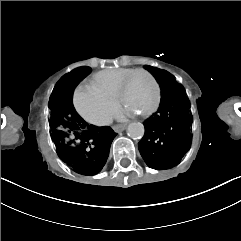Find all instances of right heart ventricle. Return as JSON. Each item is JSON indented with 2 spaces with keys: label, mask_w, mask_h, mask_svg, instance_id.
<instances>
[{
  "label": "right heart ventricle",
  "mask_w": 241,
  "mask_h": 241,
  "mask_svg": "<svg viewBox=\"0 0 241 241\" xmlns=\"http://www.w3.org/2000/svg\"><path fill=\"white\" fill-rule=\"evenodd\" d=\"M129 70L133 69L113 67L104 69L86 78L82 83V87H87L89 84H94L100 88L101 92L110 93L111 97H107V99H112V97L116 94L117 83H119V80L122 78L123 74L127 73Z\"/></svg>",
  "instance_id": "right-heart-ventricle-1"
}]
</instances>
